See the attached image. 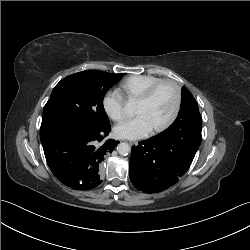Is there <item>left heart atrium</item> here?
<instances>
[{
	"label": "left heart atrium",
	"instance_id": "left-heart-atrium-1",
	"mask_svg": "<svg viewBox=\"0 0 250 250\" xmlns=\"http://www.w3.org/2000/svg\"><path fill=\"white\" fill-rule=\"evenodd\" d=\"M153 127L144 115H137L127 119L114 127V134L118 138L136 140L150 135Z\"/></svg>",
	"mask_w": 250,
	"mask_h": 250
}]
</instances>
